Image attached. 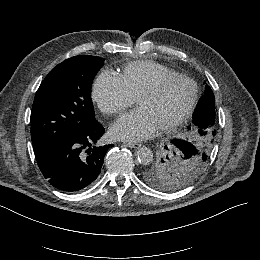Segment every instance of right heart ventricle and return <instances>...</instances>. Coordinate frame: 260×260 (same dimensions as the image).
<instances>
[{
  "instance_id": "right-heart-ventricle-1",
  "label": "right heart ventricle",
  "mask_w": 260,
  "mask_h": 260,
  "mask_svg": "<svg viewBox=\"0 0 260 260\" xmlns=\"http://www.w3.org/2000/svg\"><path fill=\"white\" fill-rule=\"evenodd\" d=\"M176 73L173 69L160 63L133 62L122 70L119 78L132 98H136L138 93L150 86L155 78Z\"/></svg>"
}]
</instances>
